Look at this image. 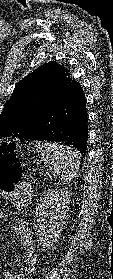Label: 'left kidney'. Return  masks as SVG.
Listing matches in <instances>:
<instances>
[{
  "label": "left kidney",
  "mask_w": 113,
  "mask_h": 279,
  "mask_svg": "<svg viewBox=\"0 0 113 279\" xmlns=\"http://www.w3.org/2000/svg\"><path fill=\"white\" fill-rule=\"evenodd\" d=\"M69 203L70 192L67 190L52 189L41 198L34 215L39 246L50 248L57 241L68 219Z\"/></svg>",
  "instance_id": "left-kidney-1"
}]
</instances>
